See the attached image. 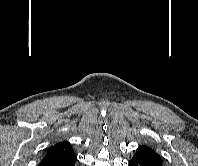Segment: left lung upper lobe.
Listing matches in <instances>:
<instances>
[{"label": "left lung upper lobe", "mask_w": 198, "mask_h": 166, "mask_svg": "<svg viewBox=\"0 0 198 166\" xmlns=\"http://www.w3.org/2000/svg\"><path fill=\"white\" fill-rule=\"evenodd\" d=\"M135 155H141L145 158L162 163L160 156L152 148H150L147 145L139 146L138 149L136 150Z\"/></svg>", "instance_id": "5c2ea615"}]
</instances>
